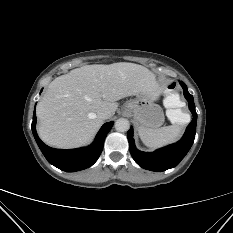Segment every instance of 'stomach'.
<instances>
[{"label":"stomach","mask_w":233,"mask_h":233,"mask_svg":"<svg viewBox=\"0 0 233 233\" xmlns=\"http://www.w3.org/2000/svg\"><path fill=\"white\" fill-rule=\"evenodd\" d=\"M123 111L130 114L137 125L156 129L164 123V113L155 98L147 93H136L134 98L125 102Z\"/></svg>","instance_id":"0dacf381"}]
</instances>
